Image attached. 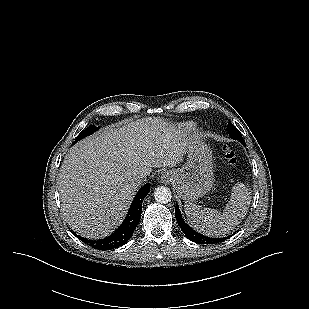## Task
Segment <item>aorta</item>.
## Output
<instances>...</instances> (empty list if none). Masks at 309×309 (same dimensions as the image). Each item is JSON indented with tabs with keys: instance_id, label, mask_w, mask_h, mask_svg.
<instances>
[{
	"instance_id": "762f6f07",
	"label": "aorta",
	"mask_w": 309,
	"mask_h": 309,
	"mask_svg": "<svg viewBox=\"0 0 309 309\" xmlns=\"http://www.w3.org/2000/svg\"><path fill=\"white\" fill-rule=\"evenodd\" d=\"M154 197L157 202L166 204L171 201L172 195L169 188L161 186L155 189Z\"/></svg>"
}]
</instances>
